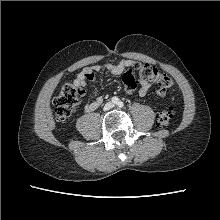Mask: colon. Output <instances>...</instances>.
<instances>
[{
    "label": "colon",
    "mask_w": 220,
    "mask_h": 220,
    "mask_svg": "<svg viewBox=\"0 0 220 220\" xmlns=\"http://www.w3.org/2000/svg\"><path fill=\"white\" fill-rule=\"evenodd\" d=\"M137 77L153 83L160 96H166L173 86L172 78L159 71L155 66L148 63H135L131 69L124 73L122 81L126 89L137 88ZM83 91L72 83H65L54 100L55 118L58 121H65L72 116L80 102ZM173 118V110L166 109L158 116V123L161 126H168Z\"/></svg>",
    "instance_id": "obj_1"
}]
</instances>
